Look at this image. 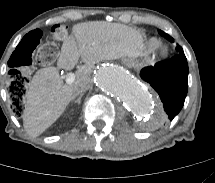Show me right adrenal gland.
<instances>
[{
	"instance_id": "right-adrenal-gland-1",
	"label": "right adrenal gland",
	"mask_w": 215,
	"mask_h": 183,
	"mask_svg": "<svg viewBox=\"0 0 215 183\" xmlns=\"http://www.w3.org/2000/svg\"><path fill=\"white\" fill-rule=\"evenodd\" d=\"M82 96H83V93H81V94L79 95V97H78L77 100L73 99L72 101H73L74 103L80 104V103H81V98H82Z\"/></svg>"
}]
</instances>
